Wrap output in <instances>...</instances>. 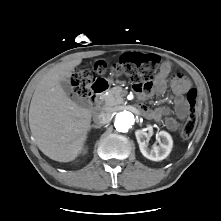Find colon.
Listing matches in <instances>:
<instances>
[{
    "label": "colon",
    "mask_w": 221,
    "mask_h": 221,
    "mask_svg": "<svg viewBox=\"0 0 221 221\" xmlns=\"http://www.w3.org/2000/svg\"><path fill=\"white\" fill-rule=\"evenodd\" d=\"M160 59L154 54L142 53L138 56H132L121 64L108 66L104 62H98L94 65L93 72L105 74L112 71L116 74H126L139 90H149L159 66ZM93 72L89 69L75 71L71 80L74 86V94L78 98L86 99L90 96V84L93 80ZM186 102L189 105L188 117L184 123L181 135L184 139L190 138L197 123V92L195 89H187L184 93Z\"/></svg>",
    "instance_id": "obj_1"
}]
</instances>
